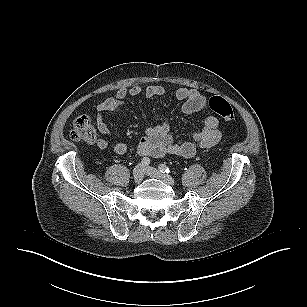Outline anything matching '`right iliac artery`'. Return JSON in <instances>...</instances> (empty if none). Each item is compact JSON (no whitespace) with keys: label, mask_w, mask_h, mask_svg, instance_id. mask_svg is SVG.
Here are the masks:
<instances>
[{"label":"right iliac artery","mask_w":307,"mask_h":307,"mask_svg":"<svg viewBox=\"0 0 307 307\" xmlns=\"http://www.w3.org/2000/svg\"><path fill=\"white\" fill-rule=\"evenodd\" d=\"M141 164H142V166H148L149 164H150V159L149 158H143L142 160H141Z\"/></svg>","instance_id":"obj_1"}]
</instances>
